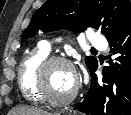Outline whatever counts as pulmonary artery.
<instances>
[{
	"instance_id": "e3ab8cb5",
	"label": "pulmonary artery",
	"mask_w": 131,
	"mask_h": 115,
	"mask_svg": "<svg viewBox=\"0 0 131 115\" xmlns=\"http://www.w3.org/2000/svg\"><path fill=\"white\" fill-rule=\"evenodd\" d=\"M90 43L92 46L105 50L106 49V40L99 33H92L90 35ZM42 48L49 52L50 44L47 41H44Z\"/></svg>"
}]
</instances>
